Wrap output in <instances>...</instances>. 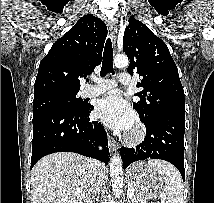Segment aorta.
Listing matches in <instances>:
<instances>
[{
  "instance_id": "obj_1",
  "label": "aorta",
  "mask_w": 214,
  "mask_h": 203,
  "mask_svg": "<svg viewBox=\"0 0 214 203\" xmlns=\"http://www.w3.org/2000/svg\"><path fill=\"white\" fill-rule=\"evenodd\" d=\"M113 63L117 68H125L129 64L128 57L117 55ZM110 176L113 193L116 198H119L123 187V165L119 154H114L110 159Z\"/></svg>"
}]
</instances>
